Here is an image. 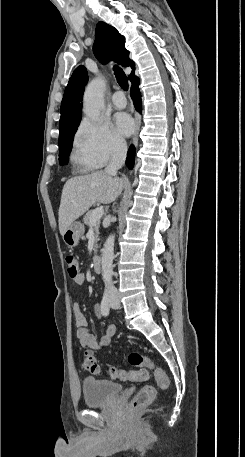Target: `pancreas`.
<instances>
[{
    "instance_id": "1",
    "label": "pancreas",
    "mask_w": 245,
    "mask_h": 457,
    "mask_svg": "<svg viewBox=\"0 0 245 457\" xmlns=\"http://www.w3.org/2000/svg\"><path fill=\"white\" fill-rule=\"evenodd\" d=\"M93 210H88V212H86L83 220L85 222V224H88V226H93V229L95 231V243H97V241H100V239H98V235H99V226H100V220L98 218V220H91V214H92ZM97 249H99L98 245H94V253H97Z\"/></svg>"
}]
</instances>
